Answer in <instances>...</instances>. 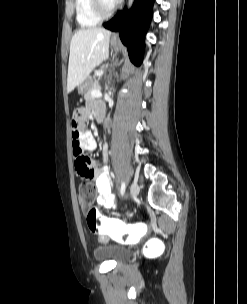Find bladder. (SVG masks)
I'll return each instance as SVG.
<instances>
[{"instance_id": "1", "label": "bladder", "mask_w": 247, "mask_h": 304, "mask_svg": "<svg viewBox=\"0 0 247 304\" xmlns=\"http://www.w3.org/2000/svg\"><path fill=\"white\" fill-rule=\"evenodd\" d=\"M93 255L99 261L120 262L128 257L129 251L125 247L106 245L95 248Z\"/></svg>"}]
</instances>
